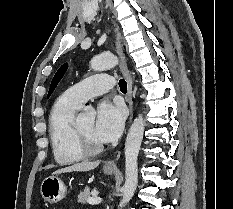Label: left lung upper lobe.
Masks as SVG:
<instances>
[{
	"label": "left lung upper lobe",
	"instance_id": "obj_1",
	"mask_svg": "<svg viewBox=\"0 0 233 209\" xmlns=\"http://www.w3.org/2000/svg\"><path fill=\"white\" fill-rule=\"evenodd\" d=\"M68 68V63L63 64L58 71L56 72V74L54 75L50 88H49V92H48V97L51 95V93L53 92V90L55 89V87L57 86V84L59 83V81L62 79L64 73L66 72Z\"/></svg>",
	"mask_w": 233,
	"mask_h": 209
}]
</instances>
